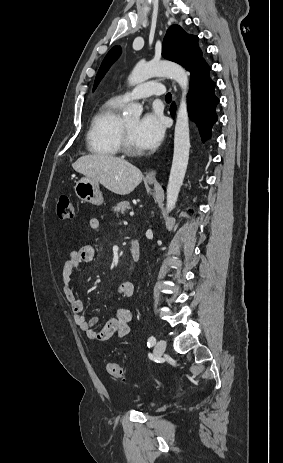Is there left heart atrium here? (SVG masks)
<instances>
[{
  "label": "left heart atrium",
  "instance_id": "1",
  "mask_svg": "<svg viewBox=\"0 0 283 463\" xmlns=\"http://www.w3.org/2000/svg\"><path fill=\"white\" fill-rule=\"evenodd\" d=\"M164 132L162 117L158 113H147L138 121L134 138L141 149L152 150L160 144Z\"/></svg>",
  "mask_w": 283,
  "mask_h": 463
}]
</instances>
